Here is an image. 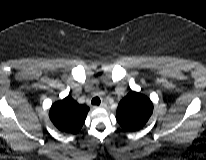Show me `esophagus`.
Here are the masks:
<instances>
[{"instance_id":"34e87169","label":"esophagus","mask_w":206,"mask_h":160,"mask_svg":"<svg viewBox=\"0 0 206 160\" xmlns=\"http://www.w3.org/2000/svg\"><path fill=\"white\" fill-rule=\"evenodd\" d=\"M106 102L105 101H103L101 104H100V106L99 107H101V108H104V107H106Z\"/></svg>"}]
</instances>
